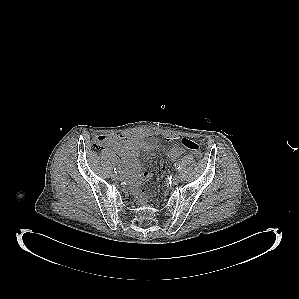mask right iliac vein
<instances>
[{"instance_id":"63e3f726","label":"right iliac vein","mask_w":299,"mask_h":299,"mask_svg":"<svg viewBox=\"0 0 299 299\" xmlns=\"http://www.w3.org/2000/svg\"><path fill=\"white\" fill-rule=\"evenodd\" d=\"M111 176H112L113 180H119V176L117 174L113 173Z\"/></svg>"}]
</instances>
